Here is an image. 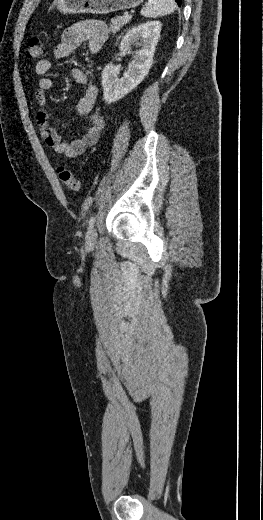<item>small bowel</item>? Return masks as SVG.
I'll use <instances>...</instances> for the list:
<instances>
[{
    "instance_id": "obj_1",
    "label": "small bowel",
    "mask_w": 263,
    "mask_h": 520,
    "mask_svg": "<svg viewBox=\"0 0 263 520\" xmlns=\"http://www.w3.org/2000/svg\"><path fill=\"white\" fill-rule=\"evenodd\" d=\"M107 25L98 20H88L78 22L67 28L61 41L54 48L53 54L57 59L67 58L73 54L76 48L86 45L91 53H97L108 37ZM51 69V62L47 59L39 60L35 64V74L39 77L37 88L34 92V99L38 105L35 114V123L44 143L54 152L69 158L81 155L87 148L93 146L100 137L104 128V119L100 114L93 113L97 96V86L88 81L83 70L78 67L72 69L74 80L83 86V95L79 99L76 111L80 116H87L89 123L84 127L79 138L66 142L59 133L49 123V113L47 111V92L52 87V80L47 76Z\"/></svg>"
}]
</instances>
